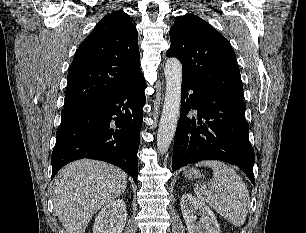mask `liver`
<instances>
[{
  "label": "liver",
  "instance_id": "6515ba94",
  "mask_svg": "<svg viewBox=\"0 0 306 233\" xmlns=\"http://www.w3.org/2000/svg\"><path fill=\"white\" fill-rule=\"evenodd\" d=\"M126 187V173L106 162L82 159L62 168L54 180L53 203L66 233H85L93 215Z\"/></svg>",
  "mask_w": 306,
  "mask_h": 233
}]
</instances>
